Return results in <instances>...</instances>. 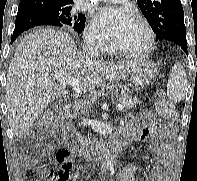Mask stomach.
<instances>
[{
    "mask_svg": "<svg viewBox=\"0 0 197 181\" xmlns=\"http://www.w3.org/2000/svg\"><path fill=\"white\" fill-rule=\"evenodd\" d=\"M158 75V68L150 61L135 62L134 69L130 74L131 81L137 87H146L150 85Z\"/></svg>",
    "mask_w": 197,
    "mask_h": 181,
    "instance_id": "stomach-1",
    "label": "stomach"
}]
</instances>
